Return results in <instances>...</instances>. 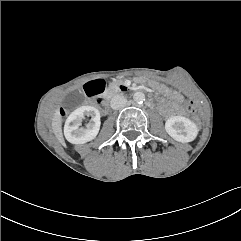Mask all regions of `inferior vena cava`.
<instances>
[{"label":"inferior vena cava","mask_w":241,"mask_h":241,"mask_svg":"<svg viewBox=\"0 0 241 241\" xmlns=\"http://www.w3.org/2000/svg\"><path fill=\"white\" fill-rule=\"evenodd\" d=\"M126 104H127V99L122 95H115L111 99V108L114 110L121 109L124 106H126Z\"/></svg>","instance_id":"obj_1"}]
</instances>
